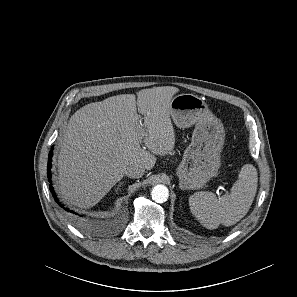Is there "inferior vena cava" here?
Returning <instances> with one entry per match:
<instances>
[{"mask_svg":"<svg viewBox=\"0 0 297 297\" xmlns=\"http://www.w3.org/2000/svg\"><path fill=\"white\" fill-rule=\"evenodd\" d=\"M145 169L141 165L132 164L125 168L124 174L130 178H140L144 175Z\"/></svg>","mask_w":297,"mask_h":297,"instance_id":"obj_1","label":"inferior vena cava"}]
</instances>
